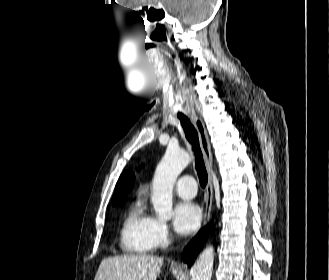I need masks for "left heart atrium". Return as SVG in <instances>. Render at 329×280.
<instances>
[{"label":"left heart atrium","instance_id":"obj_1","mask_svg":"<svg viewBox=\"0 0 329 280\" xmlns=\"http://www.w3.org/2000/svg\"><path fill=\"white\" fill-rule=\"evenodd\" d=\"M201 210L192 202H180L174 208L173 225L175 229L184 235L196 231L201 223Z\"/></svg>","mask_w":329,"mask_h":280}]
</instances>
